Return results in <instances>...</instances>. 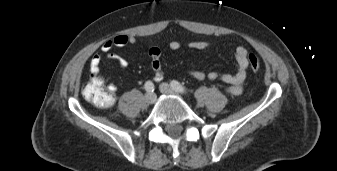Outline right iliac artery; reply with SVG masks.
<instances>
[{
	"instance_id": "1",
	"label": "right iliac artery",
	"mask_w": 337,
	"mask_h": 171,
	"mask_svg": "<svg viewBox=\"0 0 337 171\" xmlns=\"http://www.w3.org/2000/svg\"><path fill=\"white\" fill-rule=\"evenodd\" d=\"M144 86H145V90L147 92H153L154 91V84L151 81H147Z\"/></svg>"
}]
</instances>
